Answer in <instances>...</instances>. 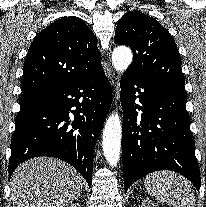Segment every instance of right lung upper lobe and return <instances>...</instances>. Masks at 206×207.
Instances as JSON below:
<instances>
[{"mask_svg":"<svg viewBox=\"0 0 206 207\" xmlns=\"http://www.w3.org/2000/svg\"><path fill=\"white\" fill-rule=\"evenodd\" d=\"M102 69L90 28L78 17L61 18L33 40L24 62L22 96L80 81Z\"/></svg>","mask_w":206,"mask_h":207,"instance_id":"right-lung-upper-lobe-1","label":"right lung upper lobe"}]
</instances>
